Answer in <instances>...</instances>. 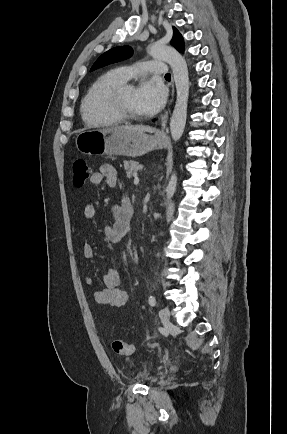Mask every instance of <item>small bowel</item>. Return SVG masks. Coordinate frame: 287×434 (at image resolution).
I'll list each match as a JSON object with an SVG mask.
<instances>
[{"label": "small bowel", "instance_id": "obj_1", "mask_svg": "<svg viewBox=\"0 0 287 434\" xmlns=\"http://www.w3.org/2000/svg\"><path fill=\"white\" fill-rule=\"evenodd\" d=\"M90 182L94 186L105 183L109 187H116L118 184V174L114 166L102 164L98 171L91 174ZM131 203L127 197H122L119 203L112 207L113 223L105 225L103 228L105 238L112 243L121 242L129 231L130 222L127 219V204ZM83 215L86 219H92L96 215V205L89 202L84 206ZM83 256L87 259L94 257V248L90 243H84L82 246ZM83 282L87 287L94 286V278L86 274ZM121 275L114 267L106 269L102 276V285L100 289L93 291L94 301L102 306L121 307L128 300V293L119 289Z\"/></svg>", "mask_w": 287, "mask_h": 434}]
</instances>
